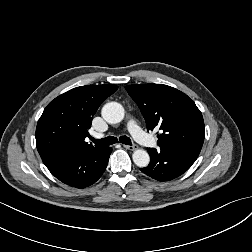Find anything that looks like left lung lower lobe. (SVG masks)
Segmentation results:
<instances>
[{
    "label": "left lung lower lobe",
    "instance_id": "left-lung-lower-lobe-1",
    "mask_svg": "<svg viewBox=\"0 0 252 252\" xmlns=\"http://www.w3.org/2000/svg\"><path fill=\"white\" fill-rule=\"evenodd\" d=\"M151 157L149 165L141 171L158 181H169L187 171L197 159L199 153L176 148H148Z\"/></svg>",
    "mask_w": 252,
    "mask_h": 252
}]
</instances>
